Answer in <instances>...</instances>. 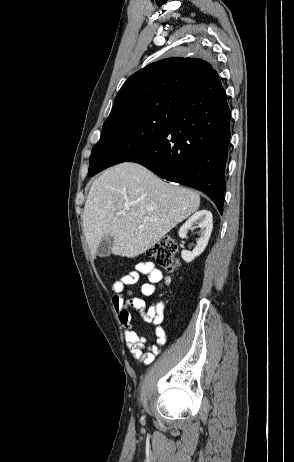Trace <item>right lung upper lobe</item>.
I'll return each mask as SVG.
<instances>
[{
	"label": "right lung upper lobe",
	"mask_w": 294,
	"mask_h": 462,
	"mask_svg": "<svg viewBox=\"0 0 294 462\" xmlns=\"http://www.w3.org/2000/svg\"><path fill=\"white\" fill-rule=\"evenodd\" d=\"M219 80L212 65L201 58L172 57L154 62L131 75L118 92L112 112L169 93L185 97Z\"/></svg>",
	"instance_id": "obj_1"
}]
</instances>
